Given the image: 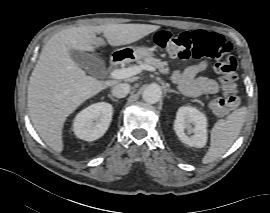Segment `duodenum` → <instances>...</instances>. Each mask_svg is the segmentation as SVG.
<instances>
[{"mask_svg":"<svg viewBox=\"0 0 270 213\" xmlns=\"http://www.w3.org/2000/svg\"><path fill=\"white\" fill-rule=\"evenodd\" d=\"M125 60V55L122 53H115L112 56V60H111V65L112 66H116V65H120L123 63V61Z\"/></svg>","mask_w":270,"mask_h":213,"instance_id":"1","label":"duodenum"}]
</instances>
